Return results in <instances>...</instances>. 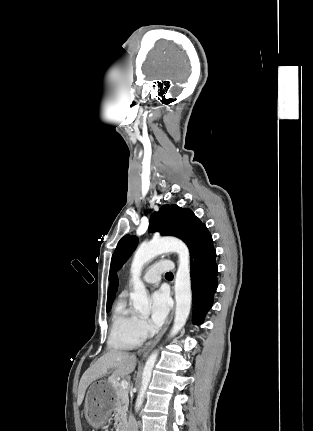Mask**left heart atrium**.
Segmentation results:
<instances>
[{
	"mask_svg": "<svg viewBox=\"0 0 313 431\" xmlns=\"http://www.w3.org/2000/svg\"><path fill=\"white\" fill-rule=\"evenodd\" d=\"M150 304V324L153 327H159L163 324L168 315L170 299L164 291H156L150 297Z\"/></svg>",
	"mask_w": 313,
	"mask_h": 431,
	"instance_id": "obj_1",
	"label": "left heart atrium"
}]
</instances>
